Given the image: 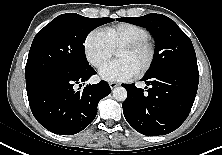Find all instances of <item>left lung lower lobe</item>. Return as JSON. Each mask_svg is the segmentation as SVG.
Wrapping results in <instances>:
<instances>
[{"instance_id":"1","label":"left lung lower lobe","mask_w":222,"mask_h":155,"mask_svg":"<svg viewBox=\"0 0 222 155\" xmlns=\"http://www.w3.org/2000/svg\"><path fill=\"white\" fill-rule=\"evenodd\" d=\"M141 81L146 92L135 84H123L128 92L123 102L127 122L147 136L168 134L188 117L195 100L199 73L183 68H170L147 73Z\"/></svg>"}]
</instances>
